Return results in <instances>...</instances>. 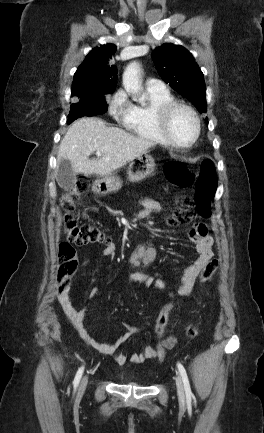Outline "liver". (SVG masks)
Segmentation results:
<instances>
[{
  "label": "liver",
  "instance_id": "6515ba94",
  "mask_svg": "<svg viewBox=\"0 0 264 433\" xmlns=\"http://www.w3.org/2000/svg\"><path fill=\"white\" fill-rule=\"evenodd\" d=\"M154 145L121 128L109 127L101 119L81 118L69 126L61 140L57 163L67 159L75 173L108 177ZM95 151L101 156L90 160Z\"/></svg>",
  "mask_w": 264,
  "mask_h": 433
}]
</instances>
